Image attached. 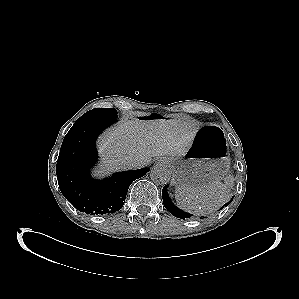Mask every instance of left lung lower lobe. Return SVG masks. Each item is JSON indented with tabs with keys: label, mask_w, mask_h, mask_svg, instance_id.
I'll list each match as a JSON object with an SVG mask.
<instances>
[{
	"label": "left lung lower lobe",
	"mask_w": 299,
	"mask_h": 299,
	"mask_svg": "<svg viewBox=\"0 0 299 299\" xmlns=\"http://www.w3.org/2000/svg\"><path fill=\"white\" fill-rule=\"evenodd\" d=\"M162 198H163V203L165 208L175 217L180 218V219H186V218H190L192 216V214H189L187 212L182 211L181 209H179L178 207H176L172 201L169 198V195L167 193V186H165L162 189ZM233 200V198L230 200V202ZM229 203L225 204L228 205Z\"/></svg>",
	"instance_id": "left-lung-lower-lobe-1"
}]
</instances>
